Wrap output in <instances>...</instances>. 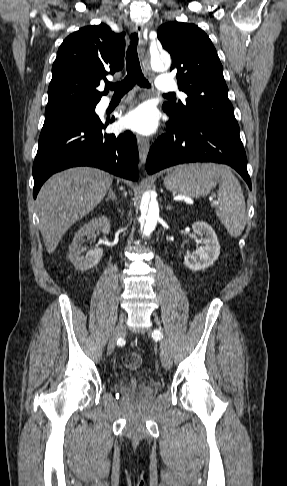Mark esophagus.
Returning a JSON list of instances; mask_svg holds the SVG:
<instances>
[{"label":"esophagus","mask_w":287,"mask_h":486,"mask_svg":"<svg viewBox=\"0 0 287 486\" xmlns=\"http://www.w3.org/2000/svg\"><path fill=\"white\" fill-rule=\"evenodd\" d=\"M132 30L138 33L139 37V52L140 55H144L145 51V41H144V33H143V26L135 24L132 26ZM137 143L139 145V150H140V161L141 164H145L147 155L149 152V141L148 139L142 137V136H137Z\"/></svg>","instance_id":"34e87169"}]
</instances>
